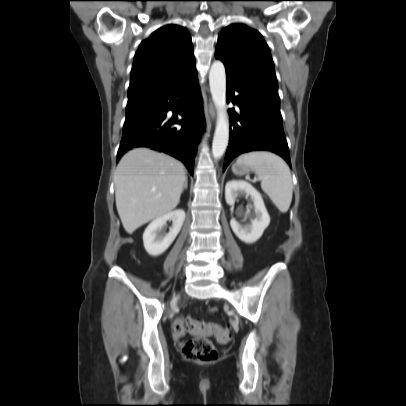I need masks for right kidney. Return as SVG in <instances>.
Masks as SVG:
<instances>
[{
	"mask_svg": "<svg viewBox=\"0 0 406 406\" xmlns=\"http://www.w3.org/2000/svg\"><path fill=\"white\" fill-rule=\"evenodd\" d=\"M185 220L184 210H175L153 220L143 234L145 250L151 256H158L164 253L172 244L181 230ZM167 221H172V227L164 237L159 235V230L166 225Z\"/></svg>",
	"mask_w": 406,
	"mask_h": 406,
	"instance_id": "right-kidney-1",
	"label": "right kidney"
}]
</instances>
